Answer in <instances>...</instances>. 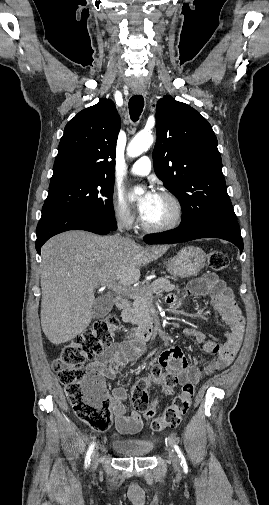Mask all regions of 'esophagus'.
I'll return each mask as SVG.
<instances>
[{"mask_svg":"<svg viewBox=\"0 0 269 505\" xmlns=\"http://www.w3.org/2000/svg\"><path fill=\"white\" fill-rule=\"evenodd\" d=\"M135 94H143L144 93V90L142 89H136L133 91Z\"/></svg>","mask_w":269,"mask_h":505,"instance_id":"1","label":"esophagus"}]
</instances>
